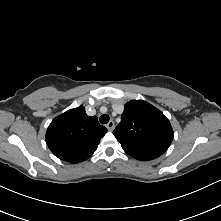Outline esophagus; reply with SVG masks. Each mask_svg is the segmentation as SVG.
Listing matches in <instances>:
<instances>
[{
    "mask_svg": "<svg viewBox=\"0 0 221 221\" xmlns=\"http://www.w3.org/2000/svg\"><path fill=\"white\" fill-rule=\"evenodd\" d=\"M115 127V123L113 120H110L107 125H106V128L109 130V131H112Z\"/></svg>",
    "mask_w": 221,
    "mask_h": 221,
    "instance_id": "1",
    "label": "esophagus"
}]
</instances>
